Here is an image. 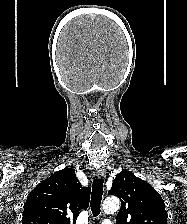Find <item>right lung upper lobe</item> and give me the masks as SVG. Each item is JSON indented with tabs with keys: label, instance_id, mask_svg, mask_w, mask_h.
Wrapping results in <instances>:
<instances>
[{
	"label": "right lung upper lobe",
	"instance_id": "right-lung-upper-lobe-1",
	"mask_svg": "<svg viewBox=\"0 0 187 224\" xmlns=\"http://www.w3.org/2000/svg\"><path fill=\"white\" fill-rule=\"evenodd\" d=\"M90 190L80 185L73 169L55 172L30 192L22 224H70L88 207Z\"/></svg>",
	"mask_w": 187,
	"mask_h": 224
}]
</instances>
